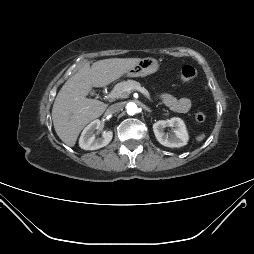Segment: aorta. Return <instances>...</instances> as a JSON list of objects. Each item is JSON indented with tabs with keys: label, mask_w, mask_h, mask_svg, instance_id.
Masks as SVG:
<instances>
[{
	"label": "aorta",
	"mask_w": 254,
	"mask_h": 254,
	"mask_svg": "<svg viewBox=\"0 0 254 254\" xmlns=\"http://www.w3.org/2000/svg\"><path fill=\"white\" fill-rule=\"evenodd\" d=\"M126 110L129 115H133L137 113L138 108L135 103L130 102L126 105Z\"/></svg>",
	"instance_id": "762f6f07"
}]
</instances>
